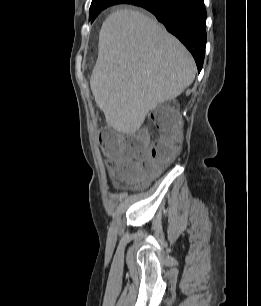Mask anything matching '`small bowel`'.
<instances>
[{
	"mask_svg": "<svg viewBox=\"0 0 261 306\" xmlns=\"http://www.w3.org/2000/svg\"><path fill=\"white\" fill-rule=\"evenodd\" d=\"M122 164H129L135 168H139L141 165L136 162V161H128L126 158H113L110 162H109V168L112 172L115 173L116 171V168L119 166V165H122Z\"/></svg>",
	"mask_w": 261,
	"mask_h": 306,
	"instance_id": "c3829d8e",
	"label": "small bowel"
}]
</instances>
